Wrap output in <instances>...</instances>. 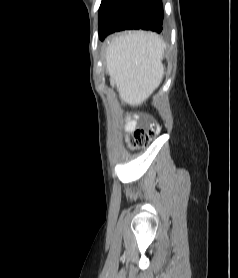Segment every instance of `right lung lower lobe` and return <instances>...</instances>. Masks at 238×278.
Wrapping results in <instances>:
<instances>
[{
    "label": "right lung lower lobe",
    "mask_w": 238,
    "mask_h": 278,
    "mask_svg": "<svg viewBox=\"0 0 238 278\" xmlns=\"http://www.w3.org/2000/svg\"><path fill=\"white\" fill-rule=\"evenodd\" d=\"M161 0H102L99 9V38L125 29L162 31Z\"/></svg>",
    "instance_id": "98d812e1"
}]
</instances>
